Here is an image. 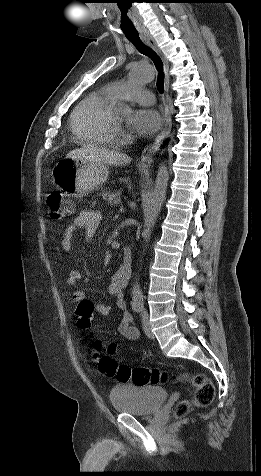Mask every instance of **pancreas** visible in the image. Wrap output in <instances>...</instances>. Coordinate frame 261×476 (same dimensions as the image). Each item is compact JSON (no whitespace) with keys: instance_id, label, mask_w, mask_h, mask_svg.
Returning <instances> with one entry per match:
<instances>
[{"instance_id":"obj_1","label":"pancreas","mask_w":261,"mask_h":476,"mask_svg":"<svg viewBox=\"0 0 261 476\" xmlns=\"http://www.w3.org/2000/svg\"><path fill=\"white\" fill-rule=\"evenodd\" d=\"M102 197L110 206H115L121 203V191H115L113 193L103 192Z\"/></svg>"}]
</instances>
